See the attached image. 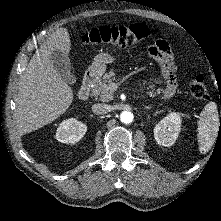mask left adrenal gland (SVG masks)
<instances>
[{
	"label": "left adrenal gland",
	"mask_w": 221,
	"mask_h": 221,
	"mask_svg": "<svg viewBox=\"0 0 221 221\" xmlns=\"http://www.w3.org/2000/svg\"><path fill=\"white\" fill-rule=\"evenodd\" d=\"M144 109L149 110V109H151V107L146 106V107H144Z\"/></svg>",
	"instance_id": "a2214340"
}]
</instances>
